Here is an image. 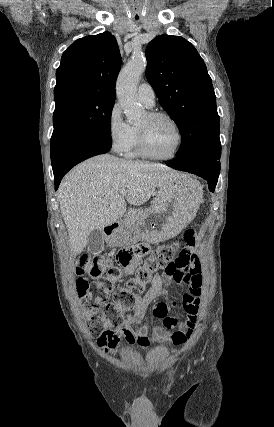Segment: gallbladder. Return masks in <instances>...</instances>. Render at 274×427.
<instances>
[{"label":"gallbladder","instance_id":"gallbladder-1","mask_svg":"<svg viewBox=\"0 0 274 427\" xmlns=\"http://www.w3.org/2000/svg\"><path fill=\"white\" fill-rule=\"evenodd\" d=\"M87 247L90 253H101L104 247V233L102 229H93L87 237Z\"/></svg>","mask_w":274,"mask_h":427}]
</instances>
